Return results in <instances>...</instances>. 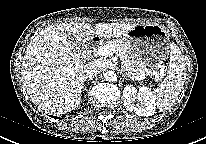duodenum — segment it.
<instances>
[{"label":"duodenum","mask_w":206,"mask_h":144,"mask_svg":"<svg viewBox=\"0 0 206 144\" xmlns=\"http://www.w3.org/2000/svg\"><path fill=\"white\" fill-rule=\"evenodd\" d=\"M99 41H100V38H99L98 36H95V37L92 38L91 44H92L93 46H95V45H97V43H98Z\"/></svg>","instance_id":"410a0bca"}]
</instances>
